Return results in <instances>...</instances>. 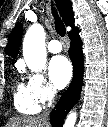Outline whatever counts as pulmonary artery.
<instances>
[{"label":"pulmonary artery","mask_w":108,"mask_h":127,"mask_svg":"<svg viewBox=\"0 0 108 127\" xmlns=\"http://www.w3.org/2000/svg\"><path fill=\"white\" fill-rule=\"evenodd\" d=\"M48 50L51 53H59L62 50V45L58 40H52L48 44Z\"/></svg>","instance_id":"e3ab8cb5"}]
</instances>
